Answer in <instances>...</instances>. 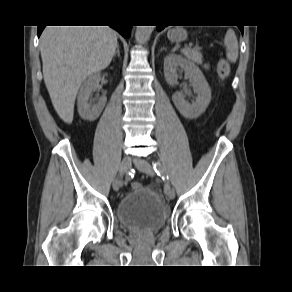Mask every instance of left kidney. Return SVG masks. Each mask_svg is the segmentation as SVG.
I'll use <instances>...</instances> for the list:
<instances>
[{"instance_id": "obj_1", "label": "left kidney", "mask_w": 292, "mask_h": 292, "mask_svg": "<svg viewBox=\"0 0 292 292\" xmlns=\"http://www.w3.org/2000/svg\"><path fill=\"white\" fill-rule=\"evenodd\" d=\"M179 69L184 71L189 78L196 99L189 103L181 92H176L172 96L173 103L185 118L196 119L208 107L211 101V89L202 71L193 62L181 55L174 54H170L164 59V76L169 85L174 86L177 83Z\"/></svg>"}]
</instances>
